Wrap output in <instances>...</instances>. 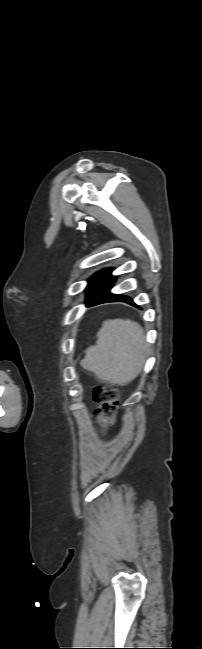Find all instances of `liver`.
<instances>
[{
  "mask_svg": "<svg viewBox=\"0 0 202 649\" xmlns=\"http://www.w3.org/2000/svg\"><path fill=\"white\" fill-rule=\"evenodd\" d=\"M147 351L144 331L138 323L106 320L97 333L96 344L87 348L80 364L102 381L125 386L140 373Z\"/></svg>",
  "mask_w": 202,
  "mask_h": 649,
  "instance_id": "obj_1",
  "label": "liver"
}]
</instances>
